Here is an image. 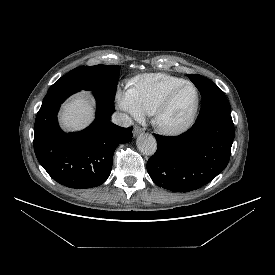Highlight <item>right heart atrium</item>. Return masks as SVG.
Wrapping results in <instances>:
<instances>
[{"label":"right heart atrium","instance_id":"obj_1","mask_svg":"<svg viewBox=\"0 0 275 275\" xmlns=\"http://www.w3.org/2000/svg\"><path fill=\"white\" fill-rule=\"evenodd\" d=\"M117 102L120 109L129 117L134 119L143 117L144 113L136 102L135 93L132 87L118 91Z\"/></svg>","mask_w":275,"mask_h":275}]
</instances>
